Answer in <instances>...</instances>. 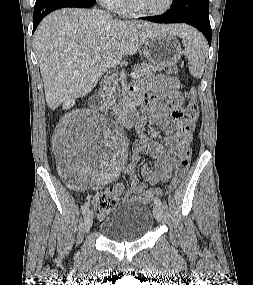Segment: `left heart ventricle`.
I'll return each mask as SVG.
<instances>
[{"mask_svg": "<svg viewBox=\"0 0 253 285\" xmlns=\"http://www.w3.org/2000/svg\"><path fill=\"white\" fill-rule=\"evenodd\" d=\"M135 6L142 11H159L163 9L168 0H133Z\"/></svg>", "mask_w": 253, "mask_h": 285, "instance_id": "1", "label": "left heart ventricle"}]
</instances>
